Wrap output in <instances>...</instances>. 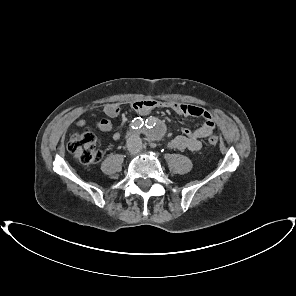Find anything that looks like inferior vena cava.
<instances>
[{"instance_id":"602c4592","label":"inferior vena cava","mask_w":296,"mask_h":296,"mask_svg":"<svg viewBox=\"0 0 296 296\" xmlns=\"http://www.w3.org/2000/svg\"><path fill=\"white\" fill-rule=\"evenodd\" d=\"M142 146V140L139 135L132 134L127 139V147L132 152H138Z\"/></svg>"}]
</instances>
